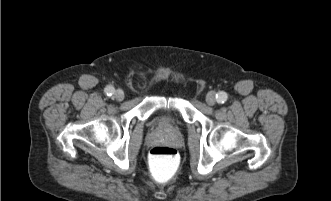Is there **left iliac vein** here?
Wrapping results in <instances>:
<instances>
[{"label": "left iliac vein", "instance_id": "left-iliac-vein-1", "mask_svg": "<svg viewBox=\"0 0 331 201\" xmlns=\"http://www.w3.org/2000/svg\"><path fill=\"white\" fill-rule=\"evenodd\" d=\"M216 96L214 91L208 92L206 96V102L208 105L213 106L216 103Z\"/></svg>", "mask_w": 331, "mask_h": 201}]
</instances>
